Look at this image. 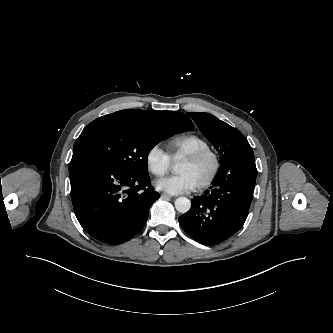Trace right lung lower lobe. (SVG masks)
I'll return each instance as SVG.
<instances>
[{
  "label": "right lung lower lobe",
  "instance_id": "1",
  "mask_svg": "<svg viewBox=\"0 0 333 333\" xmlns=\"http://www.w3.org/2000/svg\"><path fill=\"white\" fill-rule=\"evenodd\" d=\"M69 174L79 223L89 235L107 244H121L135 236L159 198L149 175L125 172L87 151L73 152Z\"/></svg>",
  "mask_w": 333,
  "mask_h": 333
}]
</instances>
